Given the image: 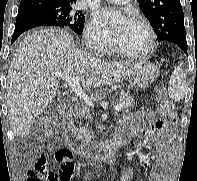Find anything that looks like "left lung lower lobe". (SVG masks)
I'll use <instances>...</instances> for the list:
<instances>
[{"mask_svg":"<svg viewBox=\"0 0 197 181\" xmlns=\"http://www.w3.org/2000/svg\"><path fill=\"white\" fill-rule=\"evenodd\" d=\"M174 43H176L187 54V41H186V39H175Z\"/></svg>","mask_w":197,"mask_h":181,"instance_id":"1","label":"left lung lower lobe"}]
</instances>
